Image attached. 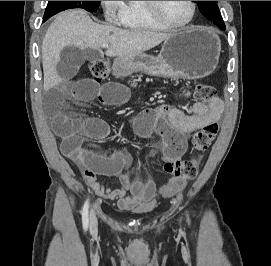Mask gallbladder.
I'll return each mask as SVG.
<instances>
[{"label": "gallbladder", "instance_id": "obj_1", "mask_svg": "<svg viewBox=\"0 0 271 266\" xmlns=\"http://www.w3.org/2000/svg\"><path fill=\"white\" fill-rule=\"evenodd\" d=\"M101 55L91 49L80 50L78 47L66 46L60 54V61L57 64V72L66 79L74 77L86 60H94Z\"/></svg>", "mask_w": 271, "mask_h": 266}]
</instances>
